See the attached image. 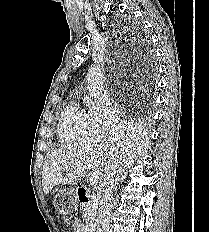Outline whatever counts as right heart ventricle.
<instances>
[{
  "label": "right heart ventricle",
  "instance_id": "e07e8e85",
  "mask_svg": "<svg viewBox=\"0 0 209 232\" xmlns=\"http://www.w3.org/2000/svg\"><path fill=\"white\" fill-rule=\"evenodd\" d=\"M94 131L89 114L81 109L75 100H71L64 109L59 125L61 142L69 144L90 138Z\"/></svg>",
  "mask_w": 209,
  "mask_h": 232
}]
</instances>
